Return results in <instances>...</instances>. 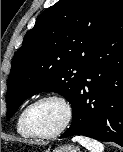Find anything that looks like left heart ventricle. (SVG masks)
<instances>
[{
  "label": "left heart ventricle",
  "instance_id": "1",
  "mask_svg": "<svg viewBox=\"0 0 123 152\" xmlns=\"http://www.w3.org/2000/svg\"><path fill=\"white\" fill-rule=\"evenodd\" d=\"M64 119V107L58 101L46 100L33 107L29 115V124L35 132L47 134L56 131Z\"/></svg>",
  "mask_w": 123,
  "mask_h": 152
}]
</instances>
